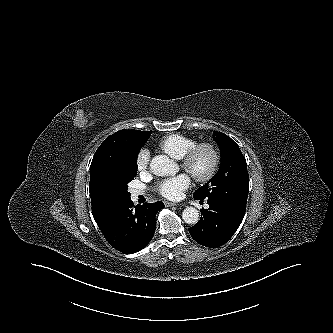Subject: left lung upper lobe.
Returning <instances> with one entry per match:
<instances>
[{
	"label": "left lung upper lobe",
	"instance_id": "1",
	"mask_svg": "<svg viewBox=\"0 0 333 333\" xmlns=\"http://www.w3.org/2000/svg\"><path fill=\"white\" fill-rule=\"evenodd\" d=\"M220 147V169L204 186L197 189L194 199H216L246 209L249 191L247 164L239 146L226 134L215 132Z\"/></svg>",
	"mask_w": 333,
	"mask_h": 333
}]
</instances>
